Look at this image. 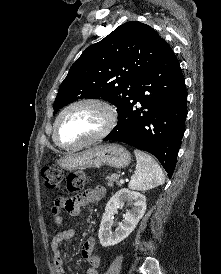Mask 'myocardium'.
I'll use <instances>...</instances> for the list:
<instances>
[{"label":"myocardium","instance_id":"f54148a6","mask_svg":"<svg viewBox=\"0 0 221 274\" xmlns=\"http://www.w3.org/2000/svg\"><path fill=\"white\" fill-rule=\"evenodd\" d=\"M84 105L95 106L103 112V114H104L103 127L95 135H93L92 137H90L82 142H79L76 144L62 143L58 138V128H59V123H60L61 119L71 109L78 107V106H84ZM116 123H117V112L111 103H109L108 101H105L103 99H99V98H82V99L71 102L66 107H64L61 110V112L58 114V116L54 122L53 140L61 148L69 149V150L79 149V148L88 146L90 144H93L95 142H98V141L102 140L103 138H105L114 129Z\"/></svg>","mask_w":221,"mask_h":274}]
</instances>
